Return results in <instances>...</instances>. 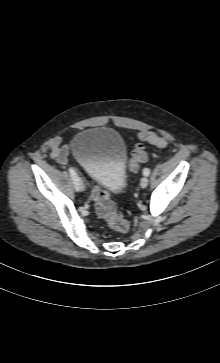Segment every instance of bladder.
<instances>
[{"instance_id":"1","label":"bladder","mask_w":220,"mask_h":363,"mask_svg":"<svg viewBox=\"0 0 220 363\" xmlns=\"http://www.w3.org/2000/svg\"><path fill=\"white\" fill-rule=\"evenodd\" d=\"M71 150L97 184L114 194L124 189L127 148L120 133L107 127L86 128L73 137Z\"/></svg>"}]
</instances>
